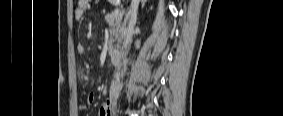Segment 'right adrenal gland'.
<instances>
[{
    "label": "right adrenal gland",
    "instance_id": "2a0ac1e0",
    "mask_svg": "<svg viewBox=\"0 0 283 116\" xmlns=\"http://www.w3.org/2000/svg\"><path fill=\"white\" fill-rule=\"evenodd\" d=\"M141 2H142V5H141V6H142V8H143L144 5H145V3H146V0H142Z\"/></svg>",
    "mask_w": 283,
    "mask_h": 116
}]
</instances>
